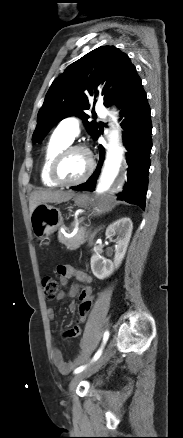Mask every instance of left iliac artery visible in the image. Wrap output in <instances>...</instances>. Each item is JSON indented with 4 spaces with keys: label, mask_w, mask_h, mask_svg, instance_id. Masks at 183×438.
<instances>
[{
    "label": "left iliac artery",
    "mask_w": 183,
    "mask_h": 438,
    "mask_svg": "<svg viewBox=\"0 0 183 438\" xmlns=\"http://www.w3.org/2000/svg\"><path fill=\"white\" fill-rule=\"evenodd\" d=\"M108 338H109V331L107 330V331H105V333L103 335V343H102L101 348L95 353V355H94V357H93V359H92V361L90 363L95 362L101 356L102 350H103L104 345L106 344ZM87 366L88 365H83V366H80V367L76 368L74 370V373L77 374V373L82 372L84 369H86Z\"/></svg>",
    "instance_id": "44dca946"
}]
</instances>
